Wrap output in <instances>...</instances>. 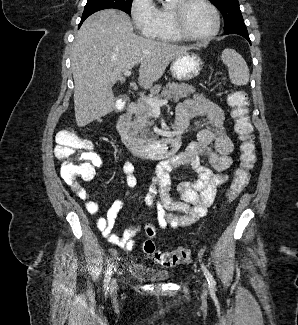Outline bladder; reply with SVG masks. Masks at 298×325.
Segmentation results:
<instances>
[{
  "label": "bladder",
  "instance_id": "31cf9c89",
  "mask_svg": "<svg viewBox=\"0 0 298 325\" xmlns=\"http://www.w3.org/2000/svg\"><path fill=\"white\" fill-rule=\"evenodd\" d=\"M128 271L134 278L146 282H161L171 277L170 271L152 267L141 261H133Z\"/></svg>",
  "mask_w": 298,
  "mask_h": 325
}]
</instances>
